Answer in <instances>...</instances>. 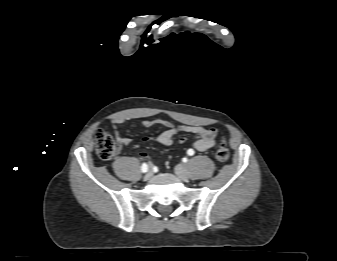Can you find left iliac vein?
<instances>
[{
  "label": "left iliac vein",
  "instance_id": "4c4485c4",
  "mask_svg": "<svg viewBox=\"0 0 337 261\" xmlns=\"http://www.w3.org/2000/svg\"><path fill=\"white\" fill-rule=\"evenodd\" d=\"M175 173L181 180H187L189 178V172L185 165H177L175 167Z\"/></svg>",
  "mask_w": 337,
  "mask_h": 261
}]
</instances>
